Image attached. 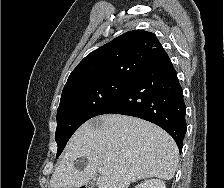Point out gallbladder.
<instances>
[{"instance_id": "bac80fb5", "label": "gallbladder", "mask_w": 224, "mask_h": 188, "mask_svg": "<svg viewBox=\"0 0 224 188\" xmlns=\"http://www.w3.org/2000/svg\"><path fill=\"white\" fill-rule=\"evenodd\" d=\"M86 188H95L96 184L94 182H87Z\"/></svg>"}]
</instances>
